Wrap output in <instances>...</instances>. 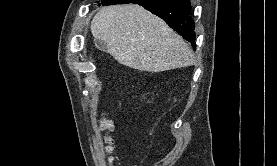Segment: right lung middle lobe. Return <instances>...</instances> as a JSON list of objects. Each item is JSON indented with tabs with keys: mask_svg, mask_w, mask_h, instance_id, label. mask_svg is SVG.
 <instances>
[{
	"mask_svg": "<svg viewBox=\"0 0 277 166\" xmlns=\"http://www.w3.org/2000/svg\"><path fill=\"white\" fill-rule=\"evenodd\" d=\"M102 5H109L110 3H112L115 0H101Z\"/></svg>",
	"mask_w": 277,
	"mask_h": 166,
	"instance_id": "obj_1",
	"label": "right lung middle lobe"
}]
</instances>
